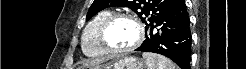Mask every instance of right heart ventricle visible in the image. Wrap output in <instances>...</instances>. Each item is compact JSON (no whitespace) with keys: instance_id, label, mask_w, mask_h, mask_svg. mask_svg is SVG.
Segmentation results:
<instances>
[{"instance_id":"obj_1","label":"right heart ventricle","mask_w":246,"mask_h":69,"mask_svg":"<svg viewBox=\"0 0 246 69\" xmlns=\"http://www.w3.org/2000/svg\"><path fill=\"white\" fill-rule=\"evenodd\" d=\"M110 10H101L87 23L82 35L83 52L90 57H100L106 54L98 38V30L103 20L111 15Z\"/></svg>"}]
</instances>
